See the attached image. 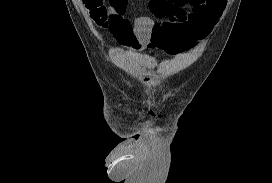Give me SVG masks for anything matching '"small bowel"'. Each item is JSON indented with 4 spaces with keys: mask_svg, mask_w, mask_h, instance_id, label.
Returning <instances> with one entry per match:
<instances>
[{
    "mask_svg": "<svg viewBox=\"0 0 272 183\" xmlns=\"http://www.w3.org/2000/svg\"><path fill=\"white\" fill-rule=\"evenodd\" d=\"M125 13L127 0H124ZM226 0H151L159 22L141 16L116 23L110 30L116 41L131 50L159 49L180 53L210 34L222 15Z\"/></svg>",
    "mask_w": 272,
    "mask_h": 183,
    "instance_id": "small-bowel-1",
    "label": "small bowel"
}]
</instances>
